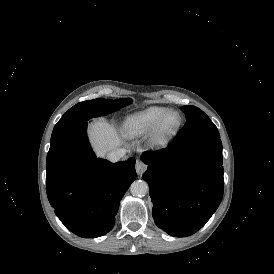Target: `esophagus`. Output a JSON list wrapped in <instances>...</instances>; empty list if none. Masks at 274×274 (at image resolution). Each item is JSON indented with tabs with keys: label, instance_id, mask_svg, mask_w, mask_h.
Wrapping results in <instances>:
<instances>
[{
	"label": "esophagus",
	"instance_id": "obj_1",
	"mask_svg": "<svg viewBox=\"0 0 274 274\" xmlns=\"http://www.w3.org/2000/svg\"><path fill=\"white\" fill-rule=\"evenodd\" d=\"M135 169L137 171V174L141 176L143 172L147 169V166L143 162L137 160L135 164Z\"/></svg>",
	"mask_w": 274,
	"mask_h": 274
}]
</instances>
